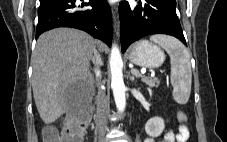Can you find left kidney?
Here are the masks:
<instances>
[{"mask_svg": "<svg viewBox=\"0 0 227 142\" xmlns=\"http://www.w3.org/2000/svg\"><path fill=\"white\" fill-rule=\"evenodd\" d=\"M165 128L164 120L160 117H154L145 124V131L151 137H158Z\"/></svg>", "mask_w": 227, "mask_h": 142, "instance_id": "obj_1", "label": "left kidney"}]
</instances>
